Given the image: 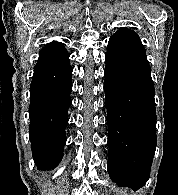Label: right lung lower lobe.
<instances>
[{
  "mask_svg": "<svg viewBox=\"0 0 178 195\" xmlns=\"http://www.w3.org/2000/svg\"><path fill=\"white\" fill-rule=\"evenodd\" d=\"M71 75L69 60L34 69L30 85L29 136L39 170L55 168L63 157L71 105Z\"/></svg>",
  "mask_w": 178,
  "mask_h": 195,
  "instance_id": "obj_1",
  "label": "right lung lower lobe"
}]
</instances>
